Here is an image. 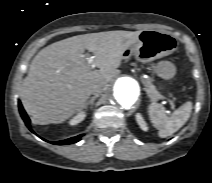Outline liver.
<instances>
[{
    "mask_svg": "<svg viewBox=\"0 0 212 183\" xmlns=\"http://www.w3.org/2000/svg\"><path fill=\"white\" fill-rule=\"evenodd\" d=\"M141 31H107L73 36L48 45L33 58L23 81L21 98L39 125L59 124L85 109L96 84H108L119 74L124 52ZM93 53L94 66L84 55Z\"/></svg>",
    "mask_w": 212,
    "mask_h": 183,
    "instance_id": "obj_1",
    "label": "liver"
}]
</instances>
